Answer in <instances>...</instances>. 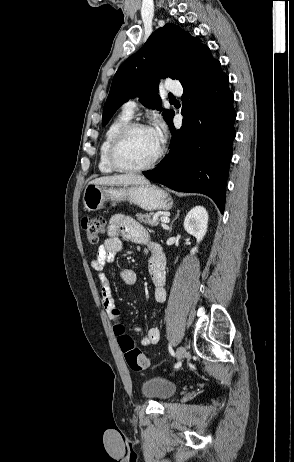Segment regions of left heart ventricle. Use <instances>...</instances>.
<instances>
[{"mask_svg": "<svg viewBox=\"0 0 294 462\" xmlns=\"http://www.w3.org/2000/svg\"><path fill=\"white\" fill-rule=\"evenodd\" d=\"M158 145L151 129L132 132L119 151L120 160L126 165L137 167L148 163L158 153Z\"/></svg>", "mask_w": 294, "mask_h": 462, "instance_id": "obj_1", "label": "left heart ventricle"}]
</instances>
